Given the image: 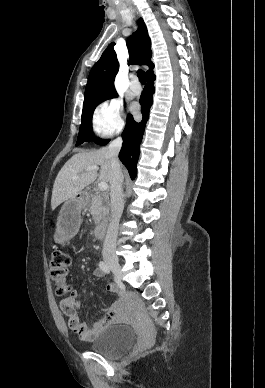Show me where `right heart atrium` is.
<instances>
[{
    "instance_id": "right-heart-atrium-1",
    "label": "right heart atrium",
    "mask_w": 265,
    "mask_h": 388,
    "mask_svg": "<svg viewBox=\"0 0 265 388\" xmlns=\"http://www.w3.org/2000/svg\"><path fill=\"white\" fill-rule=\"evenodd\" d=\"M121 103L111 100L101 104L95 113L96 130L101 135H108L113 130L114 125L120 123Z\"/></svg>"
}]
</instances>
